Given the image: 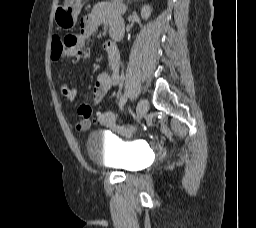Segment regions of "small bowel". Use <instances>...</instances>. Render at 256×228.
<instances>
[{
	"label": "small bowel",
	"instance_id": "1",
	"mask_svg": "<svg viewBox=\"0 0 256 228\" xmlns=\"http://www.w3.org/2000/svg\"><path fill=\"white\" fill-rule=\"evenodd\" d=\"M124 5L116 0L114 2H105L97 4L92 11L85 16L80 23V32L78 34H69L64 39V49L59 58L55 60H66L71 58L73 64L82 60H89L91 51L86 46L87 41L95 34L101 25H108L110 34L113 27L123 26L122 14ZM112 37V35H111ZM102 48L108 57V70L98 75L96 84L93 89V102L99 103L115 86L121 83V62L120 52L116 45V39L105 40ZM61 94L68 100L74 101L78 95V89L62 84L60 87ZM77 115L80 120L74 123L75 130L82 132L90 128L93 109L89 104H81L77 107ZM115 132H125V129L111 125Z\"/></svg>",
	"mask_w": 256,
	"mask_h": 228
}]
</instances>
